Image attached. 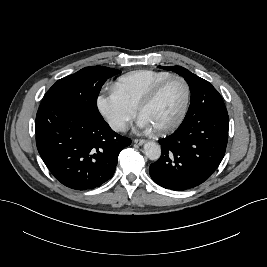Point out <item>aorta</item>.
I'll return each instance as SVG.
<instances>
[{"mask_svg": "<svg viewBox=\"0 0 267 267\" xmlns=\"http://www.w3.org/2000/svg\"><path fill=\"white\" fill-rule=\"evenodd\" d=\"M144 152L148 159L156 161L161 156V148L156 142L150 141L145 143Z\"/></svg>", "mask_w": 267, "mask_h": 267, "instance_id": "762f6f07", "label": "aorta"}]
</instances>
